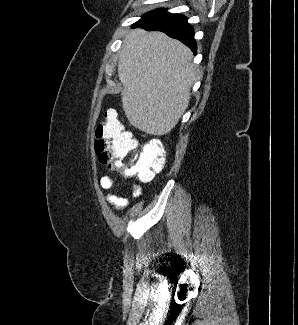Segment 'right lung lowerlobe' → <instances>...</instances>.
I'll return each instance as SVG.
<instances>
[{
    "instance_id": "1",
    "label": "right lung lower lobe",
    "mask_w": 298,
    "mask_h": 325,
    "mask_svg": "<svg viewBox=\"0 0 298 325\" xmlns=\"http://www.w3.org/2000/svg\"><path fill=\"white\" fill-rule=\"evenodd\" d=\"M142 27L148 31H162L172 38L178 39L195 53L197 46L194 40L193 27L187 18L180 14H168L154 19L139 20L134 27Z\"/></svg>"
}]
</instances>
